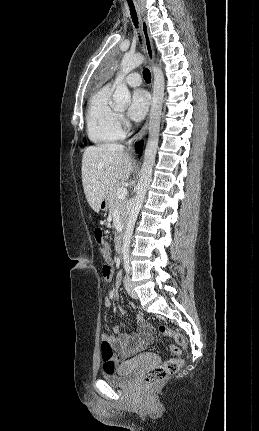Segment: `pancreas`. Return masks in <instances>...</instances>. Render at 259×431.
<instances>
[{"label":"pancreas","mask_w":259,"mask_h":431,"mask_svg":"<svg viewBox=\"0 0 259 431\" xmlns=\"http://www.w3.org/2000/svg\"><path fill=\"white\" fill-rule=\"evenodd\" d=\"M122 187L120 183L116 184L109 192L108 202H109V211L113 212L118 210L120 215V220L123 222L126 219L127 214V202L125 199H119L116 195L117 189Z\"/></svg>","instance_id":"pancreas-1"}]
</instances>
